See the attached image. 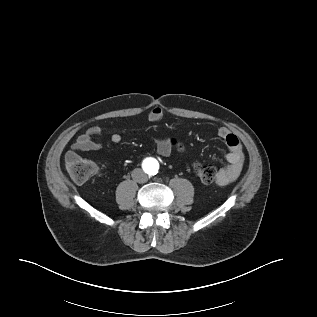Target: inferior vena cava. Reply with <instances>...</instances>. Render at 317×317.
<instances>
[{
	"instance_id": "obj_1",
	"label": "inferior vena cava",
	"mask_w": 317,
	"mask_h": 317,
	"mask_svg": "<svg viewBox=\"0 0 317 317\" xmlns=\"http://www.w3.org/2000/svg\"><path fill=\"white\" fill-rule=\"evenodd\" d=\"M132 178L138 183H146L148 181V176L140 168H136L132 171Z\"/></svg>"
}]
</instances>
